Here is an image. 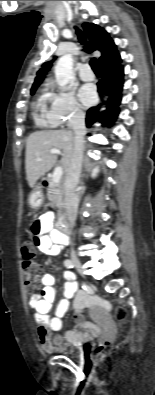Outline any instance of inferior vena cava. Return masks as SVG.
Wrapping results in <instances>:
<instances>
[{
  "label": "inferior vena cava",
  "instance_id": "602c4592",
  "mask_svg": "<svg viewBox=\"0 0 155 395\" xmlns=\"http://www.w3.org/2000/svg\"><path fill=\"white\" fill-rule=\"evenodd\" d=\"M71 125L74 131L75 140L74 150L70 159V163L66 168V177L64 183V205L67 220L69 224L73 226L76 220L78 208V196L76 194V187L79 183L83 162V137L86 133L85 114L83 112H77L72 118Z\"/></svg>",
  "mask_w": 155,
  "mask_h": 395
}]
</instances>
